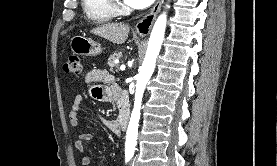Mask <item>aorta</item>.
I'll return each instance as SVG.
<instances>
[{
  "instance_id": "aorta-1",
  "label": "aorta",
  "mask_w": 277,
  "mask_h": 166,
  "mask_svg": "<svg viewBox=\"0 0 277 166\" xmlns=\"http://www.w3.org/2000/svg\"><path fill=\"white\" fill-rule=\"evenodd\" d=\"M166 23V13L161 14L155 21L149 38L145 59L143 61L142 66L139 69V74L136 77L137 83L135 91L134 108L131 113V118L126 133V150L133 151L137 143L142 97L146 88V84L149 81L155 69L156 59L159 55L165 34Z\"/></svg>"
}]
</instances>
